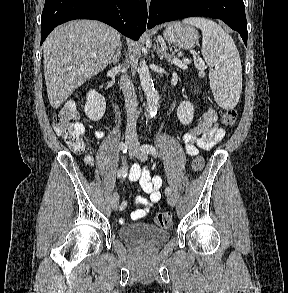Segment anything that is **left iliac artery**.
Returning <instances> with one entry per match:
<instances>
[{
  "label": "left iliac artery",
  "mask_w": 288,
  "mask_h": 293,
  "mask_svg": "<svg viewBox=\"0 0 288 293\" xmlns=\"http://www.w3.org/2000/svg\"><path fill=\"white\" fill-rule=\"evenodd\" d=\"M141 150L144 152V153H150V154H152L153 156H157V154H158V152H157V150H156V148L154 147V146H152V145H150V144H144V145H142L141 146ZM165 192H166V194H171V189L169 188V187H167L166 189H165Z\"/></svg>",
  "instance_id": "44dca946"
}]
</instances>
